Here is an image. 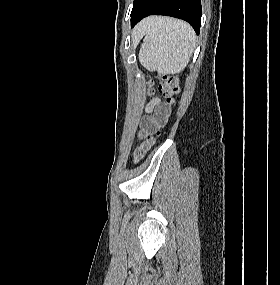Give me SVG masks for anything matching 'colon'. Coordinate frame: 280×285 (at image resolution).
<instances>
[{"instance_id":"5ec220e1","label":"colon","mask_w":280,"mask_h":285,"mask_svg":"<svg viewBox=\"0 0 280 285\" xmlns=\"http://www.w3.org/2000/svg\"><path fill=\"white\" fill-rule=\"evenodd\" d=\"M160 92L170 104L174 103L175 96L178 92L177 83L175 78L169 75H163L160 80ZM164 121H157L152 124L147 133L148 135H157L160 132V127L163 125ZM154 136H148L135 150V158L139 159L144 156L146 151L154 143Z\"/></svg>"}]
</instances>
